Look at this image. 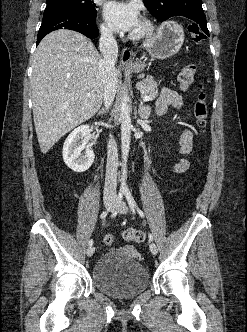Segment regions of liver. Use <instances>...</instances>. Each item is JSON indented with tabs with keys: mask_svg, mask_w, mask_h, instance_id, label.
<instances>
[{
	"mask_svg": "<svg viewBox=\"0 0 247 332\" xmlns=\"http://www.w3.org/2000/svg\"><path fill=\"white\" fill-rule=\"evenodd\" d=\"M101 61L93 43L72 30L53 31L38 45L31 88L35 130L43 154L100 109L104 92ZM115 71L117 83L120 71Z\"/></svg>",
	"mask_w": 247,
	"mask_h": 332,
	"instance_id": "liver-1",
	"label": "liver"
}]
</instances>
